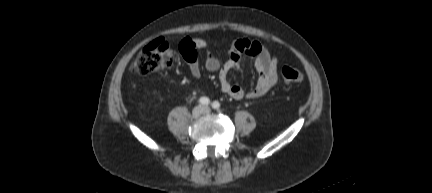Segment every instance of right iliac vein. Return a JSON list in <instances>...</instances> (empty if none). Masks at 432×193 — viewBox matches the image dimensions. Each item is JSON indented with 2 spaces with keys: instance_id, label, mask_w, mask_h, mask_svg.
<instances>
[{
  "instance_id": "obj_1",
  "label": "right iliac vein",
  "mask_w": 432,
  "mask_h": 193,
  "mask_svg": "<svg viewBox=\"0 0 432 193\" xmlns=\"http://www.w3.org/2000/svg\"><path fill=\"white\" fill-rule=\"evenodd\" d=\"M204 112V109L201 106H197L192 111V116L194 118L199 117Z\"/></svg>"
}]
</instances>
